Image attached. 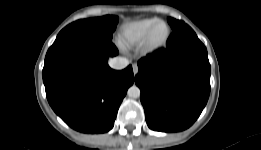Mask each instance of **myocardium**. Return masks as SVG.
<instances>
[{
  "mask_svg": "<svg viewBox=\"0 0 261 150\" xmlns=\"http://www.w3.org/2000/svg\"><path fill=\"white\" fill-rule=\"evenodd\" d=\"M159 24H164L166 27H167V34L166 36L164 37V39L160 42H154L153 39H152V35H153V32L155 30V28L157 27V25ZM170 35H171V28L169 26V24L164 21V20H158L157 22H155L151 27L150 29L148 30V32L146 33L143 41H142V48L146 51V52H155V51H158L160 50L161 48H163L169 38H170Z\"/></svg>",
  "mask_w": 261,
  "mask_h": 150,
  "instance_id": "myocardium-1",
  "label": "myocardium"
}]
</instances>
